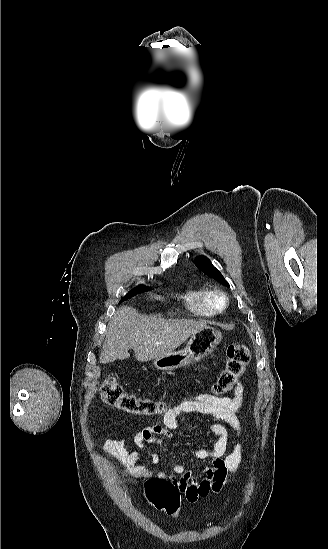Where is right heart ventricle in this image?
<instances>
[{
  "instance_id": "right-heart-ventricle-1",
  "label": "right heart ventricle",
  "mask_w": 328,
  "mask_h": 549,
  "mask_svg": "<svg viewBox=\"0 0 328 549\" xmlns=\"http://www.w3.org/2000/svg\"><path fill=\"white\" fill-rule=\"evenodd\" d=\"M185 304L190 316L206 319L217 315L213 310L211 291L207 288H194L187 292Z\"/></svg>"
}]
</instances>
